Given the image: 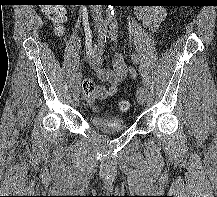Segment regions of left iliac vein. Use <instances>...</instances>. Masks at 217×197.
I'll return each instance as SVG.
<instances>
[{"instance_id":"4c4485c4","label":"left iliac vein","mask_w":217,"mask_h":197,"mask_svg":"<svg viewBox=\"0 0 217 197\" xmlns=\"http://www.w3.org/2000/svg\"><path fill=\"white\" fill-rule=\"evenodd\" d=\"M137 101L140 105H144L146 102V92L143 87H138L136 91Z\"/></svg>"}]
</instances>
